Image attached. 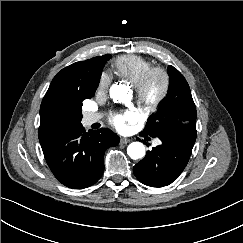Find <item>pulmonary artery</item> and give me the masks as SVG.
I'll use <instances>...</instances> for the list:
<instances>
[{
  "label": "pulmonary artery",
  "mask_w": 243,
  "mask_h": 243,
  "mask_svg": "<svg viewBox=\"0 0 243 243\" xmlns=\"http://www.w3.org/2000/svg\"><path fill=\"white\" fill-rule=\"evenodd\" d=\"M101 114L100 113H87L85 114L84 118H83V124L86 126H89L97 121L100 120L101 118ZM160 142L157 140L155 141V145H158Z\"/></svg>",
  "instance_id": "e3ab8cb5"
}]
</instances>
